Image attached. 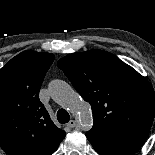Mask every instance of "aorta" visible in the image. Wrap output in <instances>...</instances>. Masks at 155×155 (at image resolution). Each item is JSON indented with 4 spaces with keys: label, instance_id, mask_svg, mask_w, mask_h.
I'll return each mask as SVG.
<instances>
[{
    "label": "aorta",
    "instance_id": "1",
    "mask_svg": "<svg viewBox=\"0 0 155 155\" xmlns=\"http://www.w3.org/2000/svg\"><path fill=\"white\" fill-rule=\"evenodd\" d=\"M49 90L57 103L76 115L83 130L91 129L93 118L89 103L80 98L67 82L54 80L50 83Z\"/></svg>",
    "mask_w": 155,
    "mask_h": 155
}]
</instances>
